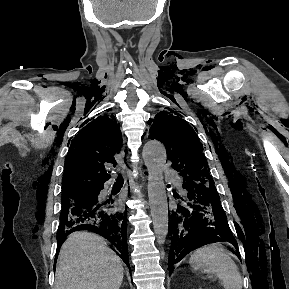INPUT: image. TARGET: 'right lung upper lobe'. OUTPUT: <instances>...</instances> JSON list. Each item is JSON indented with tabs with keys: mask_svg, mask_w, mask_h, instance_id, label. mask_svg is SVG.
<instances>
[{
	"mask_svg": "<svg viewBox=\"0 0 289 289\" xmlns=\"http://www.w3.org/2000/svg\"><path fill=\"white\" fill-rule=\"evenodd\" d=\"M121 141L115 117L104 115L88 123L71 142L65 160L62 196L101 188L110 178L104 165L116 166L114 155L120 152Z\"/></svg>",
	"mask_w": 289,
	"mask_h": 289,
	"instance_id": "obj_1",
	"label": "right lung upper lobe"
}]
</instances>
